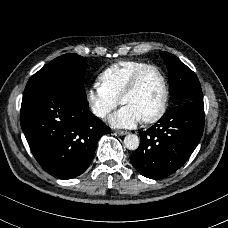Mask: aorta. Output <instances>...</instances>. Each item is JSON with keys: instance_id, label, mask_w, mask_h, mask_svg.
<instances>
[{"instance_id": "obj_1", "label": "aorta", "mask_w": 228, "mask_h": 228, "mask_svg": "<svg viewBox=\"0 0 228 228\" xmlns=\"http://www.w3.org/2000/svg\"><path fill=\"white\" fill-rule=\"evenodd\" d=\"M124 145L128 150H137L140 145V140L137 135L129 134L124 138Z\"/></svg>"}]
</instances>
